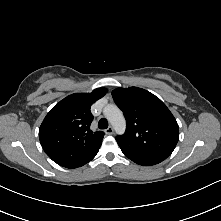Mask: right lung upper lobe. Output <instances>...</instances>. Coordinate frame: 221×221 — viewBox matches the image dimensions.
<instances>
[{
  "label": "right lung upper lobe",
  "mask_w": 221,
  "mask_h": 221,
  "mask_svg": "<svg viewBox=\"0 0 221 221\" xmlns=\"http://www.w3.org/2000/svg\"><path fill=\"white\" fill-rule=\"evenodd\" d=\"M106 88L91 93H74L56 104L39 128L43 150L57 164L77 168L91 161L99 151L104 132L90 129L91 105L102 98Z\"/></svg>",
  "instance_id": "cb5924a9"
}]
</instances>
